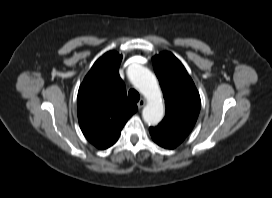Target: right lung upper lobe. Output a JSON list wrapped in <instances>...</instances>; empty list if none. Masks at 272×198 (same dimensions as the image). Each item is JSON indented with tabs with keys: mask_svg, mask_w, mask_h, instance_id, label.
<instances>
[{
	"mask_svg": "<svg viewBox=\"0 0 272 198\" xmlns=\"http://www.w3.org/2000/svg\"><path fill=\"white\" fill-rule=\"evenodd\" d=\"M122 55L109 51L100 57L84 78L77 98V114L85 137L97 148L106 149L119 138L137 106L127 99L119 76Z\"/></svg>",
	"mask_w": 272,
	"mask_h": 198,
	"instance_id": "obj_1",
	"label": "right lung upper lobe"
}]
</instances>
